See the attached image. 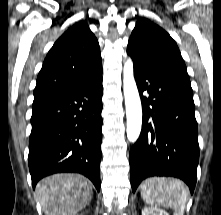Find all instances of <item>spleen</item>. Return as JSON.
I'll return each mask as SVG.
<instances>
[{"mask_svg": "<svg viewBox=\"0 0 221 215\" xmlns=\"http://www.w3.org/2000/svg\"><path fill=\"white\" fill-rule=\"evenodd\" d=\"M188 195V188L176 179L152 178L144 182L141 190L147 204L173 208L175 215L184 214Z\"/></svg>", "mask_w": 221, "mask_h": 215, "instance_id": "1", "label": "spleen"}]
</instances>
